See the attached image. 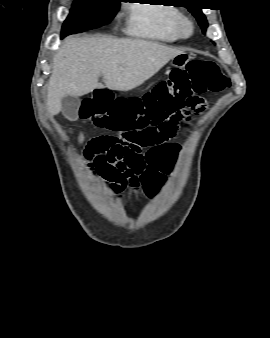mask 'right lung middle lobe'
Returning a JSON list of instances; mask_svg holds the SVG:
<instances>
[{
    "instance_id": "1",
    "label": "right lung middle lobe",
    "mask_w": 270,
    "mask_h": 338,
    "mask_svg": "<svg viewBox=\"0 0 270 338\" xmlns=\"http://www.w3.org/2000/svg\"><path fill=\"white\" fill-rule=\"evenodd\" d=\"M121 0H75L62 26L61 37L108 24L116 15Z\"/></svg>"
}]
</instances>
